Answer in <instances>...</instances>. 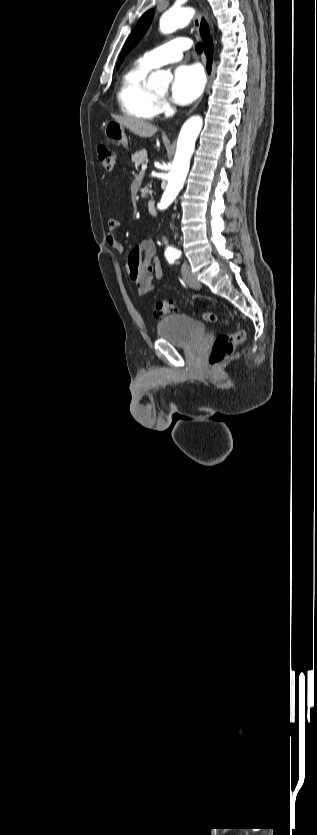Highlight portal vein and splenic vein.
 <instances>
[{
	"mask_svg": "<svg viewBox=\"0 0 317 835\" xmlns=\"http://www.w3.org/2000/svg\"><path fill=\"white\" fill-rule=\"evenodd\" d=\"M147 169V164H142V170L145 171Z\"/></svg>",
	"mask_w": 317,
	"mask_h": 835,
	"instance_id": "1",
	"label": "portal vein and splenic vein"
}]
</instances>
